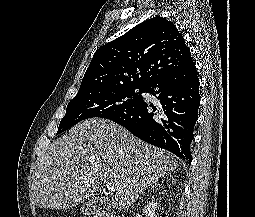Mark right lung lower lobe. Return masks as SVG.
Instances as JSON below:
<instances>
[{
  "label": "right lung lower lobe",
  "instance_id": "1",
  "mask_svg": "<svg viewBox=\"0 0 255 217\" xmlns=\"http://www.w3.org/2000/svg\"><path fill=\"white\" fill-rule=\"evenodd\" d=\"M145 92L158 99V108L142 100L129 111L108 119L126 127L134 136L191 163L189 146L200 103L193 59L151 82Z\"/></svg>",
  "mask_w": 255,
  "mask_h": 217
}]
</instances>
